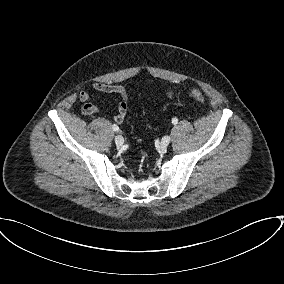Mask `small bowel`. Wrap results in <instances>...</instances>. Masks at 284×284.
<instances>
[{"mask_svg":"<svg viewBox=\"0 0 284 284\" xmlns=\"http://www.w3.org/2000/svg\"><path fill=\"white\" fill-rule=\"evenodd\" d=\"M92 89L98 92L117 94L120 96L121 100L118 103L117 113L114 116V121L117 124L123 123L126 117V113H127V99H128V95L126 93L125 88L120 85L108 84V83H103V82H95L92 84ZM167 97L170 100H175L176 91L175 90L168 91ZM79 98L84 103L82 106V113L84 115H93L99 111V108L95 104L89 101L90 100L89 91L82 90L79 94Z\"/></svg>","mask_w":284,"mask_h":284,"instance_id":"c3829d8e","label":"small bowel"}]
</instances>
